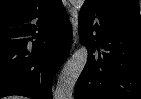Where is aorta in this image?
<instances>
[{
    "label": "aorta",
    "instance_id": "aorta-1",
    "mask_svg": "<svg viewBox=\"0 0 141 99\" xmlns=\"http://www.w3.org/2000/svg\"><path fill=\"white\" fill-rule=\"evenodd\" d=\"M72 6L79 11L84 0H70ZM88 58V50L81 46L63 67L56 85L54 99H72L75 84L83 71Z\"/></svg>",
    "mask_w": 141,
    "mask_h": 99
}]
</instances>
